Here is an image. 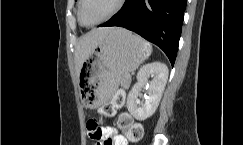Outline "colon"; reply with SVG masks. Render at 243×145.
<instances>
[{
    "label": "colon",
    "mask_w": 243,
    "mask_h": 145,
    "mask_svg": "<svg viewBox=\"0 0 243 145\" xmlns=\"http://www.w3.org/2000/svg\"><path fill=\"white\" fill-rule=\"evenodd\" d=\"M124 102V93L122 91L116 92L109 102L100 107L99 113L104 116H113L116 109L122 107ZM118 126L130 141H139L143 136L142 126L136 123L128 113L119 115ZM87 129L91 137H99L100 127L96 118L93 117L88 120Z\"/></svg>",
    "instance_id": "1"
}]
</instances>
